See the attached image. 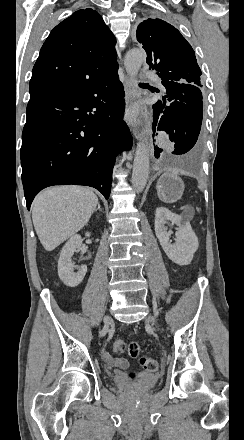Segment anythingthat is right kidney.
I'll return each mask as SVG.
<instances>
[{
    "label": "right kidney",
    "instance_id": "1",
    "mask_svg": "<svg viewBox=\"0 0 244 440\" xmlns=\"http://www.w3.org/2000/svg\"><path fill=\"white\" fill-rule=\"evenodd\" d=\"M86 236L89 238L90 232H86ZM82 242L83 240L78 234L72 236V238L66 242L64 248H62L61 256L59 258L58 276L63 284H66L69 288L79 286L87 272V266H80L78 272H74L75 266H73L71 262L74 252H77Z\"/></svg>",
    "mask_w": 244,
    "mask_h": 440
}]
</instances>
